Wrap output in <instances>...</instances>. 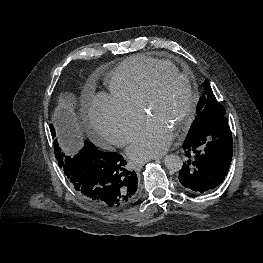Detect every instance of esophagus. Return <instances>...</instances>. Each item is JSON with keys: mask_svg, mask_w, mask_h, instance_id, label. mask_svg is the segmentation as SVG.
Returning <instances> with one entry per match:
<instances>
[{"mask_svg": "<svg viewBox=\"0 0 263 263\" xmlns=\"http://www.w3.org/2000/svg\"><path fill=\"white\" fill-rule=\"evenodd\" d=\"M156 159H159V158H156ZM144 163H145L144 161H142V162H140V163H137V164H136V167H141Z\"/></svg>", "mask_w": 263, "mask_h": 263, "instance_id": "obj_1", "label": "esophagus"}]
</instances>
